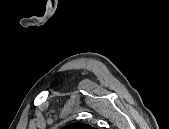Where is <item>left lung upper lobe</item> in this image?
I'll return each instance as SVG.
<instances>
[{
	"instance_id": "5c2ea615",
	"label": "left lung upper lobe",
	"mask_w": 169,
	"mask_h": 129,
	"mask_svg": "<svg viewBox=\"0 0 169 129\" xmlns=\"http://www.w3.org/2000/svg\"><path fill=\"white\" fill-rule=\"evenodd\" d=\"M65 129H92L90 125L83 123H71L64 127Z\"/></svg>"
}]
</instances>
